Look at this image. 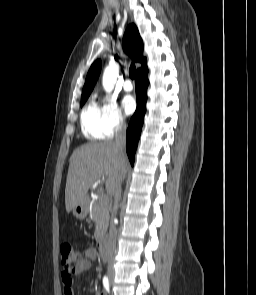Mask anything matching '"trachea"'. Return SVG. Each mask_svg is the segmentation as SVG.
<instances>
[{
  "label": "trachea",
  "instance_id": "obj_1",
  "mask_svg": "<svg viewBox=\"0 0 256 295\" xmlns=\"http://www.w3.org/2000/svg\"><path fill=\"white\" fill-rule=\"evenodd\" d=\"M135 74H136V67L135 65L132 63L129 69V76L134 79L135 78Z\"/></svg>",
  "mask_w": 256,
  "mask_h": 295
}]
</instances>
